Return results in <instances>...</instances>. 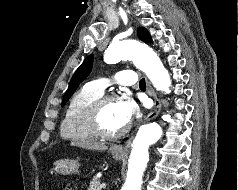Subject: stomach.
I'll return each mask as SVG.
<instances>
[{"instance_id": "1", "label": "stomach", "mask_w": 238, "mask_h": 190, "mask_svg": "<svg viewBox=\"0 0 238 190\" xmlns=\"http://www.w3.org/2000/svg\"><path fill=\"white\" fill-rule=\"evenodd\" d=\"M111 154L114 159L120 160L124 157L123 151H116L115 149H111ZM79 164L75 160L69 159H60L53 163V171L56 174L68 175L77 171Z\"/></svg>"}]
</instances>
